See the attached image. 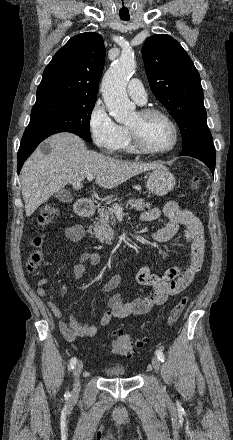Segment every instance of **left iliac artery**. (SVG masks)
I'll list each match as a JSON object with an SVG mask.
<instances>
[{"label":"left iliac artery","mask_w":233,"mask_h":440,"mask_svg":"<svg viewBox=\"0 0 233 440\" xmlns=\"http://www.w3.org/2000/svg\"><path fill=\"white\" fill-rule=\"evenodd\" d=\"M155 354L161 362H164L165 355L163 354V352L161 350H156Z\"/></svg>","instance_id":"44dca946"}]
</instances>
